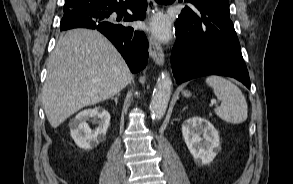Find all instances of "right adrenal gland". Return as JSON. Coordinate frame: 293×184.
Returning a JSON list of instances; mask_svg holds the SVG:
<instances>
[{
	"label": "right adrenal gland",
	"mask_w": 293,
	"mask_h": 184,
	"mask_svg": "<svg viewBox=\"0 0 293 184\" xmlns=\"http://www.w3.org/2000/svg\"><path fill=\"white\" fill-rule=\"evenodd\" d=\"M120 96V93H118L115 97H112L111 99H113L115 101V104L117 105L118 103V97Z\"/></svg>",
	"instance_id": "obj_1"
}]
</instances>
